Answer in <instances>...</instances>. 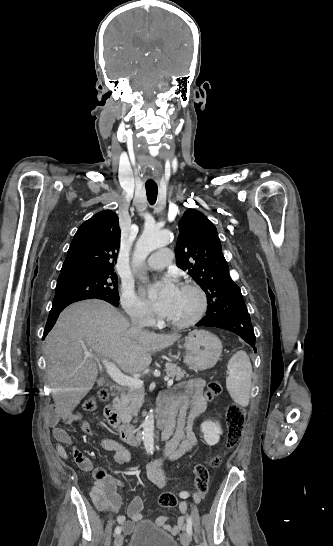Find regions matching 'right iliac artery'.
Masks as SVG:
<instances>
[{"label": "right iliac artery", "instance_id": "1", "mask_svg": "<svg viewBox=\"0 0 333 546\" xmlns=\"http://www.w3.org/2000/svg\"><path fill=\"white\" fill-rule=\"evenodd\" d=\"M121 531H122V529H121L120 526H117V527L115 528V533H116V534H119Z\"/></svg>", "mask_w": 333, "mask_h": 546}]
</instances>
